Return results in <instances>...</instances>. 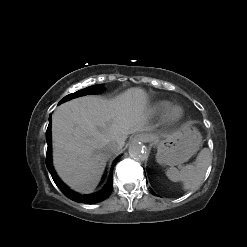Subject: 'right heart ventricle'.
Wrapping results in <instances>:
<instances>
[{
    "instance_id": "obj_1",
    "label": "right heart ventricle",
    "mask_w": 247,
    "mask_h": 247,
    "mask_svg": "<svg viewBox=\"0 0 247 247\" xmlns=\"http://www.w3.org/2000/svg\"><path fill=\"white\" fill-rule=\"evenodd\" d=\"M170 107V103L168 101H160L155 105L156 113H163Z\"/></svg>"
}]
</instances>
